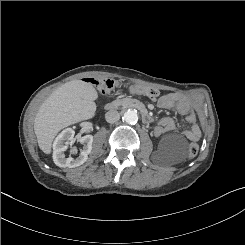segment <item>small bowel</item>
<instances>
[{
	"label": "small bowel",
	"mask_w": 245,
	"mask_h": 245,
	"mask_svg": "<svg viewBox=\"0 0 245 245\" xmlns=\"http://www.w3.org/2000/svg\"><path fill=\"white\" fill-rule=\"evenodd\" d=\"M158 106L166 110H176L185 116L186 122L190 127L184 131V135L191 141H198L201 137V130L196 122V116L188 101L178 93H169L157 100ZM177 123L174 119L165 117L158 121L154 128V134L161 136L175 130Z\"/></svg>",
	"instance_id": "small-bowel-1"
}]
</instances>
